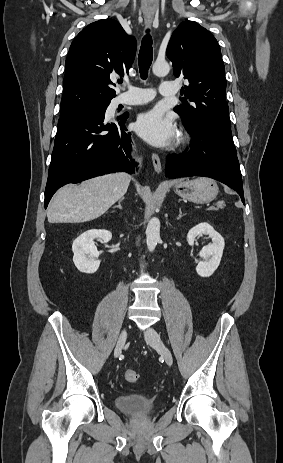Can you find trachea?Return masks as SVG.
<instances>
[{
	"label": "trachea",
	"instance_id": "obj_1",
	"mask_svg": "<svg viewBox=\"0 0 283 463\" xmlns=\"http://www.w3.org/2000/svg\"><path fill=\"white\" fill-rule=\"evenodd\" d=\"M153 60V48H152V37L147 30V34L143 37L141 48L138 56V65L140 76L142 79H146L148 76V70ZM119 83H122L120 81Z\"/></svg>",
	"mask_w": 283,
	"mask_h": 463
}]
</instances>
